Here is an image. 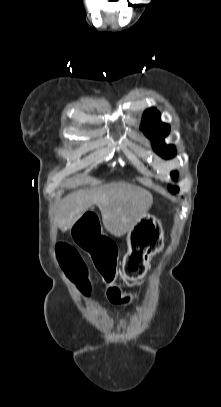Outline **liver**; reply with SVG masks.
I'll return each instance as SVG.
<instances>
[{"mask_svg": "<svg viewBox=\"0 0 221 407\" xmlns=\"http://www.w3.org/2000/svg\"><path fill=\"white\" fill-rule=\"evenodd\" d=\"M152 203V194L147 190L115 182L66 196L62 202V221L73 226L95 204L101 211L105 229L121 237L147 215Z\"/></svg>", "mask_w": 221, "mask_h": 407, "instance_id": "obj_1", "label": "liver"}]
</instances>
